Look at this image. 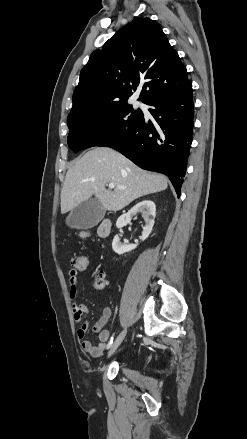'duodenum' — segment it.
I'll return each instance as SVG.
<instances>
[{"label":"duodenum","mask_w":247,"mask_h":439,"mask_svg":"<svg viewBox=\"0 0 247 439\" xmlns=\"http://www.w3.org/2000/svg\"><path fill=\"white\" fill-rule=\"evenodd\" d=\"M112 223L110 220H103L97 229V234L101 238H107L111 233Z\"/></svg>","instance_id":"410a0bca"}]
</instances>
